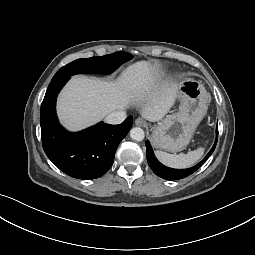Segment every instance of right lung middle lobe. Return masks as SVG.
<instances>
[{"label":"right lung middle lobe","instance_id":"obj_1","mask_svg":"<svg viewBox=\"0 0 255 255\" xmlns=\"http://www.w3.org/2000/svg\"><path fill=\"white\" fill-rule=\"evenodd\" d=\"M133 56L126 52H115L113 54L77 59L66 66L60 68L52 80L75 74H109L117 69L121 64L131 60Z\"/></svg>","mask_w":255,"mask_h":255}]
</instances>
